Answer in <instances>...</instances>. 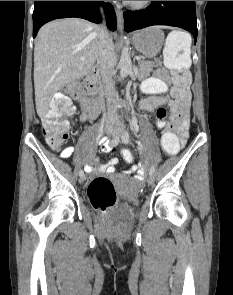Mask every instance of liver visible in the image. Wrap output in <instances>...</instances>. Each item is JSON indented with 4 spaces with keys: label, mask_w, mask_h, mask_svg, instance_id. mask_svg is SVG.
Instances as JSON below:
<instances>
[{
    "label": "liver",
    "mask_w": 233,
    "mask_h": 295,
    "mask_svg": "<svg viewBox=\"0 0 233 295\" xmlns=\"http://www.w3.org/2000/svg\"><path fill=\"white\" fill-rule=\"evenodd\" d=\"M99 40L100 28L81 18L54 20L40 28L34 47L35 103L40 118L45 117L56 92L91 71Z\"/></svg>",
    "instance_id": "1"
}]
</instances>
